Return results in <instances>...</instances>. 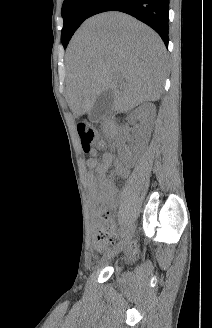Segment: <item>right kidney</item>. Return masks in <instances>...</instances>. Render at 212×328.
<instances>
[{"instance_id": "1", "label": "right kidney", "mask_w": 212, "mask_h": 328, "mask_svg": "<svg viewBox=\"0 0 212 328\" xmlns=\"http://www.w3.org/2000/svg\"><path fill=\"white\" fill-rule=\"evenodd\" d=\"M155 116V105L152 103H144L135 109L132 113H130V115L127 117L128 121L132 124L139 122L136 126L139 132V144L148 140L152 131Z\"/></svg>"}]
</instances>
